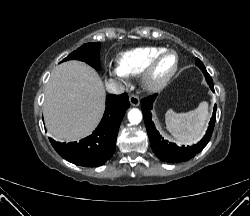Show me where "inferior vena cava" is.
I'll list each match as a JSON object with an SVG mask.
<instances>
[{
	"label": "inferior vena cava",
	"mask_w": 250,
	"mask_h": 216,
	"mask_svg": "<svg viewBox=\"0 0 250 216\" xmlns=\"http://www.w3.org/2000/svg\"><path fill=\"white\" fill-rule=\"evenodd\" d=\"M106 89L109 93L116 94V95H119L125 92V87L121 83L115 80L108 81L106 83Z\"/></svg>",
	"instance_id": "602c4592"
}]
</instances>
